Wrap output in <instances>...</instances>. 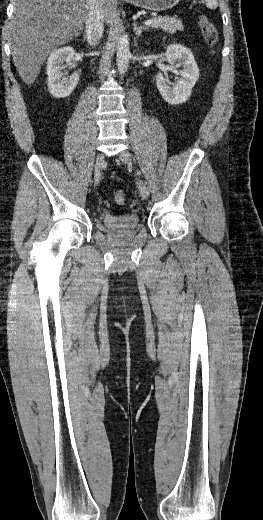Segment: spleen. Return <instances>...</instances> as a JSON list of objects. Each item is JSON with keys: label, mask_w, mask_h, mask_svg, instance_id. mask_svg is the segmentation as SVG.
<instances>
[{"label": "spleen", "mask_w": 263, "mask_h": 520, "mask_svg": "<svg viewBox=\"0 0 263 520\" xmlns=\"http://www.w3.org/2000/svg\"><path fill=\"white\" fill-rule=\"evenodd\" d=\"M205 3H206V6L209 8V9H216L218 7V2L217 0H204Z\"/></svg>", "instance_id": "3e777b00"}]
</instances>
